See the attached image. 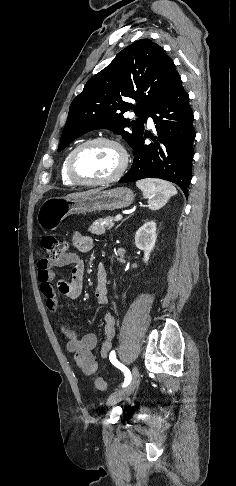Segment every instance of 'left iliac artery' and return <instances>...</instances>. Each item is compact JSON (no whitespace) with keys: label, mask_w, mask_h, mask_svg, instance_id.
Here are the masks:
<instances>
[{"label":"left iliac artery","mask_w":236,"mask_h":486,"mask_svg":"<svg viewBox=\"0 0 236 486\" xmlns=\"http://www.w3.org/2000/svg\"><path fill=\"white\" fill-rule=\"evenodd\" d=\"M109 358H110L111 363H112L114 366H116L117 368H119L120 370H122V371H123L124 376H125V380H124V383H123V386H122V387H126V386H127L129 383H130L131 378H132V377H131L130 370H129L127 367H125L123 364H121V363H120V362H119V361L116 359V355H115V351H114V350H113V351H111Z\"/></svg>","instance_id":"left-iliac-artery-1"}]
</instances>
